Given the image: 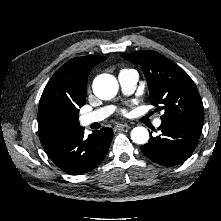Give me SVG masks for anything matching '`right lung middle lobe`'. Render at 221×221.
<instances>
[{
	"mask_svg": "<svg viewBox=\"0 0 221 221\" xmlns=\"http://www.w3.org/2000/svg\"><path fill=\"white\" fill-rule=\"evenodd\" d=\"M78 113H79V111H76V112H75V114H74L76 119H78V118H79Z\"/></svg>",
	"mask_w": 221,
	"mask_h": 221,
	"instance_id": "dd1d6c3e",
	"label": "right lung middle lobe"
}]
</instances>
